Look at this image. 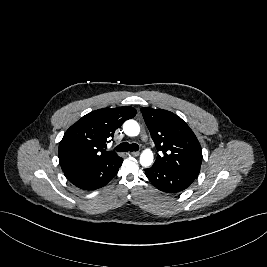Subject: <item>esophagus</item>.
Here are the masks:
<instances>
[{
    "label": "esophagus",
    "instance_id": "esophagus-1",
    "mask_svg": "<svg viewBox=\"0 0 267 267\" xmlns=\"http://www.w3.org/2000/svg\"><path fill=\"white\" fill-rule=\"evenodd\" d=\"M131 155L137 157L140 155V152L139 151H133V152H131Z\"/></svg>",
    "mask_w": 267,
    "mask_h": 267
}]
</instances>
